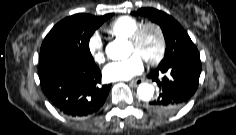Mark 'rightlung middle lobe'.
Instances as JSON below:
<instances>
[{
	"mask_svg": "<svg viewBox=\"0 0 236 135\" xmlns=\"http://www.w3.org/2000/svg\"><path fill=\"white\" fill-rule=\"evenodd\" d=\"M113 13L104 16L75 14L57 23L45 37L40 50L39 64H55L76 57L95 65L89 40L94 31Z\"/></svg>",
	"mask_w": 236,
	"mask_h": 135,
	"instance_id": "1",
	"label": "right lung middle lobe"
}]
</instances>
